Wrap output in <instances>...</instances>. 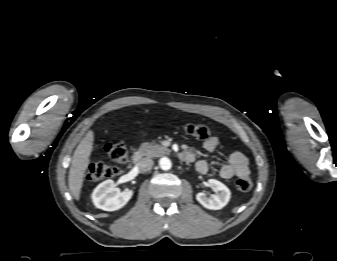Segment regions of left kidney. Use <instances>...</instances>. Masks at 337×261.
I'll use <instances>...</instances> for the list:
<instances>
[{
  "mask_svg": "<svg viewBox=\"0 0 337 261\" xmlns=\"http://www.w3.org/2000/svg\"><path fill=\"white\" fill-rule=\"evenodd\" d=\"M208 185L218 191V194L213 195L212 198L206 196L205 193L200 192L196 195L197 201L207 209L219 210L222 209L230 200L231 192L229 188L222 182L216 179H209Z\"/></svg>",
  "mask_w": 337,
  "mask_h": 261,
  "instance_id": "obj_1",
  "label": "left kidney"
}]
</instances>
